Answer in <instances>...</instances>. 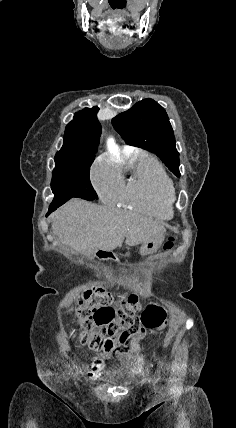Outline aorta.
Instances as JSON below:
<instances>
[{
	"label": "aorta",
	"mask_w": 236,
	"mask_h": 428,
	"mask_svg": "<svg viewBox=\"0 0 236 428\" xmlns=\"http://www.w3.org/2000/svg\"><path fill=\"white\" fill-rule=\"evenodd\" d=\"M108 143H109V147L111 148V149H113V150H117V146L115 145V143H114V140L113 139H110L109 141H108Z\"/></svg>",
	"instance_id": "1"
}]
</instances>
